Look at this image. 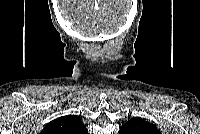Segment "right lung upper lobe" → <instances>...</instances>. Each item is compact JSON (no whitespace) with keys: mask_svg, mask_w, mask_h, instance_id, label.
Returning a JSON list of instances; mask_svg holds the SVG:
<instances>
[{"mask_svg":"<svg viewBox=\"0 0 200 134\" xmlns=\"http://www.w3.org/2000/svg\"><path fill=\"white\" fill-rule=\"evenodd\" d=\"M43 134H86L87 129L80 118L66 115L48 123L42 130Z\"/></svg>","mask_w":200,"mask_h":134,"instance_id":"cb5924a9","label":"right lung upper lobe"}]
</instances>
